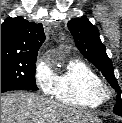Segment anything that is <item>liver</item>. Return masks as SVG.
<instances>
[{"mask_svg": "<svg viewBox=\"0 0 122 123\" xmlns=\"http://www.w3.org/2000/svg\"><path fill=\"white\" fill-rule=\"evenodd\" d=\"M1 123H101L91 112L26 91L1 96Z\"/></svg>", "mask_w": 122, "mask_h": 123, "instance_id": "liver-1", "label": "liver"}]
</instances>
